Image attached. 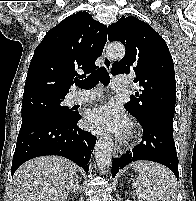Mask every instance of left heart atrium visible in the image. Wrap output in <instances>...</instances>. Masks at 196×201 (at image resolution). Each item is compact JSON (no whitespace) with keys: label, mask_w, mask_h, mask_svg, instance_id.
<instances>
[{"label":"left heart atrium","mask_w":196,"mask_h":201,"mask_svg":"<svg viewBox=\"0 0 196 201\" xmlns=\"http://www.w3.org/2000/svg\"><path fill=\"white\" fill-rule=\"evenodd\" d=\"M86 126L94 132L109 131L124 136L130 129L127 117L115 105H105L87 111L85 115Z\"/></svg>","instance_id":"left-heart-atrium-1"}]
</instances>
